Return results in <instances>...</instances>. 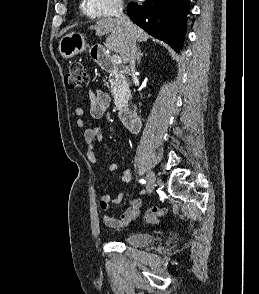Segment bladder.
Listing matches in <instances>:
<instances>
[{"instance_id": "bladder-1", "label": "bladder", "mask_w": 259, "mask_h": 294, "mask_svg": "<svg viewBox=\"0 0 259 294\" xmlns=\"http://www.w3.org/2000/svg\"><path fill=\"white\" fill-rule=\"evenodd\" d=\"M155 241V235L147 232H134L126 235L123 239L125 245L144 247Z\"/></svg>"}]
</instances>
